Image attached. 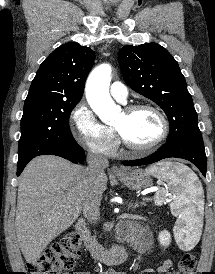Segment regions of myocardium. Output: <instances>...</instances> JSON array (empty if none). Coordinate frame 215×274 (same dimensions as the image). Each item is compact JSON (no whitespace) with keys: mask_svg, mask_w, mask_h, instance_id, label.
Wrapping results in <instances>:
<instances>
[{"mask_svg":"<svg viewBox=\"0 0 215 274\" xmlns=\"http://www.w3.org/2000/svg\"><path fill=\"white\" fill-rule=\"evenodd\" d=\"M150 110L154 112L158 118L160 119L161 125H162V130L160 135L151 143L146 144V145H135L130 143L124 136L123 134L116 128L115 126L114 131L116 132L120 142L129 150L135 151V152H140V153H145L154 150L157 148L161 143H163L166 138L169 135L170 132V124L168 121V118L166 117L165 113L157 106L149 103H137V104H132L128 105L124 108V112L127 114H131L135 111L138 110Z\"/></svg>","mask_w":215,"mask_h":274,"instance_id":"1","label":"myocardium"}]
</instances>
